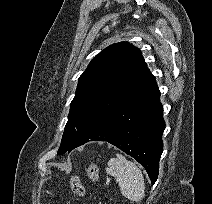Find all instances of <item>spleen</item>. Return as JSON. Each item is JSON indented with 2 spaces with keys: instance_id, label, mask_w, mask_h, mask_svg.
I'll list each match as a JSON object with an SVG mask.
<instances>
[{
  "instance_id": "3e777b00",
  "label": "spleen",
  "mask_w": 212,
  "mask_h": 204,
  "mask_svg": "<svg viewBox=\"0 0 212 204\" xmlns=\"http://www.w3.org/2000/svg\"><path fill=\"white\" fill-rule=\"evenodd\" d=\"M106 172L119 183L123 196L131 201L140 202L145 193L144 177L135 163L127 160L123 155L116 154V158L108 161Z\"/></svg>"
}]
</instances>
